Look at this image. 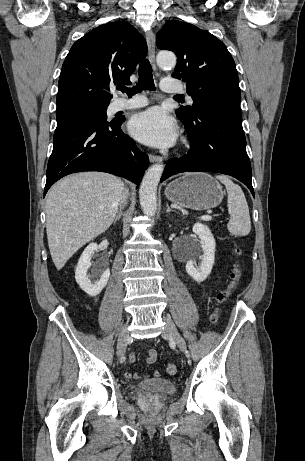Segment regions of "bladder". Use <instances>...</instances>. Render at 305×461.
I'll return each instance as SVG.
<instances>
[{
    "instance_id": "31cf9c89",
    "label": "bladder",
    "mask_w": 305,
    "mask_h": 461,
    "mask_svg": "<svg viewBox=\"0 0 305 461\" xmlns=\"http://www.w3.org/2000/svg\"><path fill=\"white\" fill-rule=\"evenodd\" d=\"M137 389L145 393L173 394L176 392L177 387L172 380L155 378L140 382Z\"/></svg>"
}]
</instances>
